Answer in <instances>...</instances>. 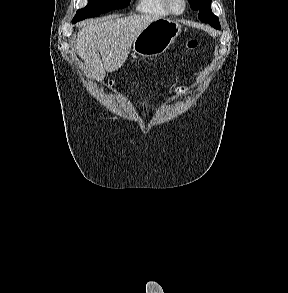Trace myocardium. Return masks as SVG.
Returning <instances> with one entry per match:
<instances>
[{
    "label": "myocardium",
    "instance_id": "obj_1",
    "mask_svg": "<svg viewBox=\"0 0 288 293\" xmlns=\"http://www.w3.org/2000/svg\"><path fill=\"white\" fill-rule=\"evenodd\" d=\"M182 4V8L180 10H176L173 5H172V0H163L166 8L170 11V13L175 14V15H180L182 14L186 7H187V1L186 0H180Z\"/></svg>",
    "mask_w": 288,
    "mask_h": 293
}]
</instances>
